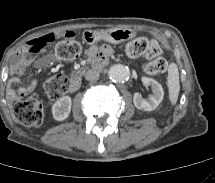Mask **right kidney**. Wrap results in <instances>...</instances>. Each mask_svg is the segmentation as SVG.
<instances>
[{
    "instance_id": "1",
    "label": "right kidney",
    "mask_w": 215,
    "mask_h": 183,
    "mask_svg": "<svg viewBox=\"0 0 215 183\" xmlns=\"http://www.w3.org/2000/svg\"><path fill=\"white\" fill-rule=\"evenodd\" d=\"M72 106V100L69 96L61 97L52 106L53 118L56 121H63L68 118Z\"/></svg>"
}]
</instances>
